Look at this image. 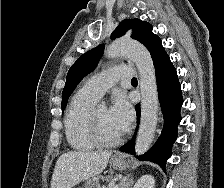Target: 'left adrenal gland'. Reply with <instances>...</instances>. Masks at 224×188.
I'll return each mask as SVG.
<instances>
[{"mask_svg":"<svg viewBox=\"0 0 224 188\" xmlns=\"http://www.w3.org/2000/svg\"><path fill=\"white\" fill-rule=\"evenodd\" d=\"M134 183V179L131 177L130 174L125 176L119 183L118 188H129Z\"/></svg>","mask_w":224,"mask_h":188,"instance_id":"1","label":"left adrenal gland"}]
</instances>
